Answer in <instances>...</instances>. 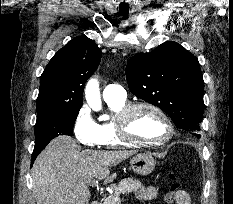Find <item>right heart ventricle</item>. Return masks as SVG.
Here are the masks:
<instances>
[{
  "label": "right heart ventricle",
  "mask_w": 233,
  "mask_h": 204,
  "mask_svg": "<svg viewBox=\"0 0 233 204\" xmlns=\"http://www.w3.org/2000/svg\"><path fill=\"white\" fill-rule=\"evenodd\" d=\"M113 113V118L98 124L100 145L108 148H117L127 146L129 144L123 142L117 132V116L121 110L127 105L126 100H110L106 101Z\"/></svg>",
  "instance_id": "right-heart-ventricle-1"
}]
</instances>
